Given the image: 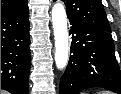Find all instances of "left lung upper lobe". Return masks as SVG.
Instances as JSON below:
<instances>
[{
    "label": "left lung upper lobe",
    "instance_id": "1",
    "mask_svg": "<svg viewBox=\"0 0 121 94\" xmlns=\"http://www.w3.org/2000/svg\"><path fill=\"white\" fill-rule=\"evenodd\" d=\"M62 1L67 7V15L69 19L111 33L109 22L107 20L101 0Z\"/></svg>",
    "mask_w": 121,
    "mask_h": 94
}]
</instances>
